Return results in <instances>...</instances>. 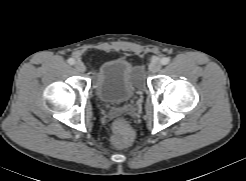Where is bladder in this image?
I'll use <instances>...</instances> for the list:
<instances>
[{
  "label": "bladder",
  "instance_id": "obj_1",
  "mask_svg": "<svg viewBox=\"0 0 246 181\" xmlns=\"http://www.w3.org/2000/svg\"><path fill=\"white\" fill-rule=\"evenodd\" d=\"M141 71L123 58L104 62L95 76L99 99L106 104H122L137 93L141 86Z\"/></svg>",
  "mask_w": 246,
  "mask_h": 181
}]
</instances>
